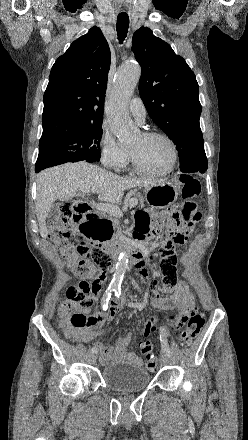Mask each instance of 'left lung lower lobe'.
Instances as JSON below:
<instances>
[{
    "label": "left lung lower lobe",
    "mask_w": 248,
    "mask_h": 440,
    "mask_svg": "<svg viewBox=\"0 0 248 440\" xmlns=\"http://www.w3.org/2000/svg\"><path fill=\"white\" fill-rule=\"evenodd\" d=\"M205 171H206V170H203V169H202V170H198V171H196V172H199V173H205Z\"/></svg>",
    "instance_id": "left-lung-lower-lobe-1"
}]
</instances>
